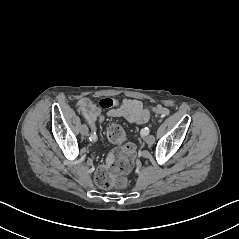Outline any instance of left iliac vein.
Listing matches in <instances>:
<instances>
[{
	"label": "left iliac vein",
	"instance_id": "4c4485c4",
	"mask_svg": "<svg viewBox=\"0 0 239 239\" xmlns=\"http://www.w3.org/2000/svg\"><path fill=\"white\" fill-rule=\"evenodd\" d=\"M145 141L148 145H152L155 142V137L153 135H149L145 138Z\"/></svg>",
	"mask_w": 239,
	"mask_h": 239
}]
</instances>
